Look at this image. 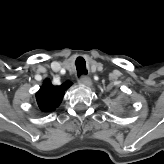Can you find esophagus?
<instances>
[{"mask_svg": "<svg viewBox=\"0 0 164 164\" xmlns=\"http://www.w3.org/2000/svg\"><path fill=\"white\" fill-rule=\"evenodd\" d=\"M79 83L85 86H91L92 80L87 76H81L79 79Z\"/></svg>", "mask_w": 164, "mask_h": 164, "instance_id": "obj_1", "label": "esophagus"}]
</instances>
